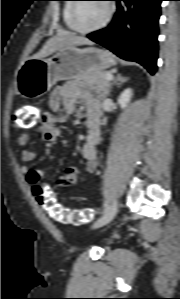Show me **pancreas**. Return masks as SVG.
Here are the masks:
<instances>
[{"label": "pancreas", "mask_w": 180, "mask_h": 299, "mask_svg": "<svg viewBox=\"0 0 180 299\" xmlns=\"http://www.w3.org/2000/svg\"><path fill=\"white\" fill-rule=\"evenodd\" d=\"M107 74L111 73L105 71L93 72L83 76L81 80L89 89L95 90L98 93L102 92V95L105 96L108 93L107 90L110 86V82L105 78Z\"/></svg>", "instance_id": "cf45deb5"}]
</instances>
